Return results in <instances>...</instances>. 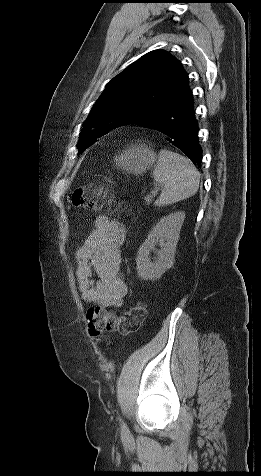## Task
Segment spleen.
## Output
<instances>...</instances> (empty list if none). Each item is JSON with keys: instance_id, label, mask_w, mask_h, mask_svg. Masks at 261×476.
I'll use <instances>...</instances> for the list:
<instances>
[{"instance_id": "3e777b00", "label": "spleen", "mask_w": 261, "mask_h": 476, "mask_svg": "<svg viewBox=\"0 0 261 476\" xmlns=\"http://www.w3.org/2000/svg\"><path fill=\"white\" fill-rule=\"evenodd\" d=\"M152 175L162 187L161 195L155 201L159 207L192 197L199 188L200 173L193 163L188 158L170 150L159 152Z\"/></svg>"}]
</instances>
